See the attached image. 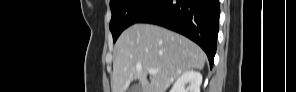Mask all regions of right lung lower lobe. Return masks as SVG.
Returning a JSON list of instances; mask_svg holds the SVG:
<instances>
[{"label": "right lung lower lobe", "mask_w": 296, "mask_h": 92, "mask_svg": "<svg viewBox=\"0 0 296 92\" xmlns=\"http://www.w3.org/2000/svg\"><path fill=\"white\" fill-rule=\"evenodd\" d=\"M218 0H159L135 23H151L181 33L196 42L213 65L218 35Z\"/></svg>", "instance_id": "1"}]
</instances>
